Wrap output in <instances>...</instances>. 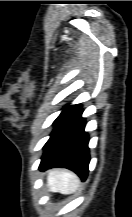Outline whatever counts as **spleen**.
Instances as JSON below:
<instances>
[{
    "instance_id": "obj_1",
    "label": "spleen",
    "mask_w": 132,
    "mask_h": 217,
    "mask_svg": "<svg viewBox=\"0 0 132 217\" xmlns=\"http://www.w3.org/2000/svg\"><path fill=\"white\" fill-rule=\"evenodd\" d=\"M47 185L52 192L68 195L78 190L80 180L73 172L64 169H53L48 174Z\"/></svg>"
}]
</instances>
